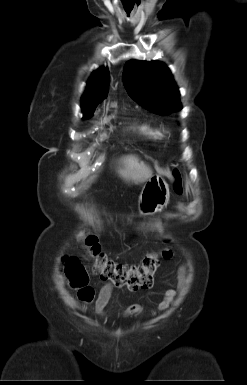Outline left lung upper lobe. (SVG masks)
<instances>
[{
	"instance_id": "5c2ea615",
	"label": "left lung upper lobe",
	"mask_w": 247,
	"mask_h": 385,
	"mask_svg": "<svg viewBox=\"0 0 247 385\" xmlns=\"http://www.w3.org/2000/svg\"><path fill=\"white\" fill-rule=\"evenodd\" d=\"M123 83L130 97L153 113L169 115L182 108L172 74L161 62L128 61L123 70Z\"/></svg>"
}]
</instances>
